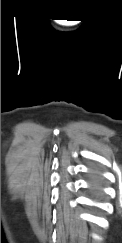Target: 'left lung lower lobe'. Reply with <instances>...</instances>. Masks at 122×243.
<instances>
[{
  "mask_svg": "<svg viewBox=\"0 0 122 243\" xmlns=\"http://www.w3.org/2000/svg\"><path fill=\"white\" fill-rule=\"evenodd\" d=\"M92 183H93V185H94V187H95V191H97V186L99 185L98 179H97V178H94V179L92 180Z\"/></svg>",
  "mask_w": 122,
  "mask_h": 243,
  "instance_id": "1",
  "label": "left lung lower lobe"
}]
</instances>
